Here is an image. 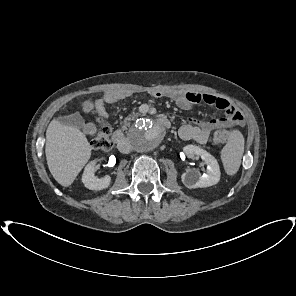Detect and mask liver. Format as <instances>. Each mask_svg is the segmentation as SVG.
I'll return each mask as SVG.
<instances>
[{
	"label": "liver",
	"mask_w": 296,
	"mask_h": 296,
	"mask_svg": "<svg viewBox=\"0 0 296 296\" xmlns=\"http://www.w3.org/2000/svg\"><path fill=\"white\" fill-rule=\"evenodd\" d=\"M45 154L54 179L68 187L88 162L91 146L79 129L53 119L46 130Z\"/></svg>",
	"instance_id": "liver-1"
}]
</instances>
